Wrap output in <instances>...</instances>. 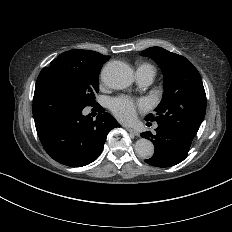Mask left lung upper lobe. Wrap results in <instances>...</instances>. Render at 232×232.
I'll return each mask as SVG.
<instances>
[{"label": "left lung upper lobe", "instance_id": "obj_1", "mask_svg": "<svg viewBox=\"0 0 232 232\" xmlns=\"http://www.w3.org/2000/svg\"><path fill=\"white\" fill-rule=\"evenodd\" d=\"M142 54L153 58L164 75V93L156 115L149 114L145 119L193 139L206 112V94L198 70L185 57L161 47L148 48Z\"/></svg>", "mask_w": 232, "mask_h": 232}]
</instances>
